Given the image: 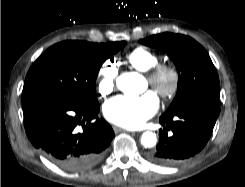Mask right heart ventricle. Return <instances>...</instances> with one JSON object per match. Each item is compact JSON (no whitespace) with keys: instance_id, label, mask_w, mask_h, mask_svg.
<instances>
[{"instance_id":"obj_1","label":"right heart ventricle","mask_w":245,"mask_h":187,"mask_svg":"<svg viewBox=\"0 0 245 187\" xmlns=\"http://www.w3.org/2000/svg\"><path fill=\"white\" fill-rule=\"evenodd\" d=\"M126 59L134 69L140 72H148L160 61V57L156 52L143 46L129 50Z\"/></svg>"}]
</instances>
